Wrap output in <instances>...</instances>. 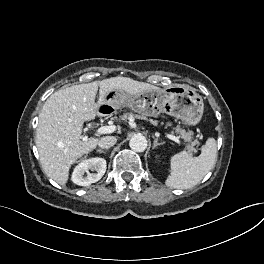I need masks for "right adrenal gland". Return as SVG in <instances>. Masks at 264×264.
<instances>
[{"instance_id":"2a0ac1e0","label":"right adrenal gland","mask_w":264,"mask_h":264,"mask_svg":"<svg viewBox=\"0 0 264 264\" xmlns=\"http://www.w3.org/2000/svg\"><path fill=\"white\" fill-rule=\"evenodd\" d=\"M108 150L97 149V153H106Z\"/></svg>"}]
</instances>
